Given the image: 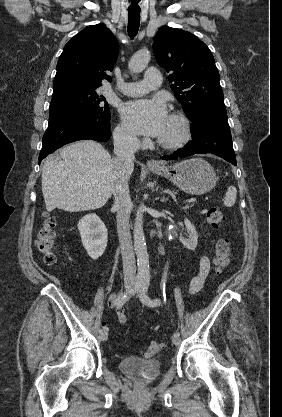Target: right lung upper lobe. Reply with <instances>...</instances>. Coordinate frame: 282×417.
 Returning <instances> with one entry per match:
<instances>
[{
    "label": "right lung upper lobe",
    "mask_w": 282,
    "mask_h": 417,
    "mask_svg": "<svg viewBox=\"0 0 282 417\" xmlns=\"http://www.w3.org/2000/svg\"><path fill=\"white\" fill-rule=\"evenodd\" d=\"M118 50V41L103 23L86 27L65 45L57 63L53 93L98 88L102 80L111 82L106 71L113 70Z\"/></svg>",
    "instance_id": "1"
}]
</instances>
